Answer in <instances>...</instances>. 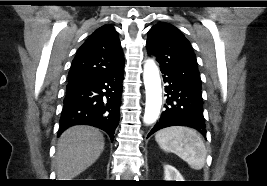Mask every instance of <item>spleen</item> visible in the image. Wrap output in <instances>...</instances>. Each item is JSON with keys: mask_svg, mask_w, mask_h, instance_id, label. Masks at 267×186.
<instances>
[{"mask_svg": "<svg viewBox=\"0 0 267 186\" xmlns=\"http://www.w3.org/2000/svg\"><path fill=\"white\" fill-rule=\"evenodd\" d=\"M155 140L161 149L175 153L192 169L200 170L204 167L207 154L205 144L194 129L168 127L158 131Z\"/></svg>", "mask_w": 267, "mask_h": 186, "instance_id": "spleen-1", "label": "spleen"}]
</instances>
